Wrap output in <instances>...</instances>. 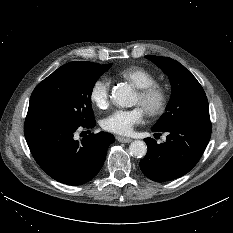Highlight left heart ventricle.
Wrapping results in <instances>:
<instances>
[{"label": "left heart ventricle", "mask_w": 233, "mask_h": 233, "mask_svg": "<svg viewBox=\"0 0 233 233\" xmlns=\"http://www.w3.org/2000/svg\"><path fill=\"white\" fill-rule=\"evenodd\" d=\"M134 104L139 105L144 111H145V109H147L148 107H150L152 105V103L143 102L140 99V97L138 96V94H136V96H135Z\"/></svg>", "instance_id": "left-heart-ventricle-1"}]
</instances>
